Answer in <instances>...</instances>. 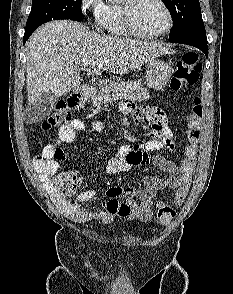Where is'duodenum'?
Segmentation results:
<instances>
[{"label": "duodenum", "mask_w": 233, "mask_h": 294, "mask_svg": "<svg viewBox=\"0 0 233 294\" xmlns=\"http://www.w3.org/2000/svg\"><path fill=\"white\" fill-rule=\"evenodd\" d=\"M91 91L92 88L90 87L77 88L68 98V107L76 109L90 95Z\"/></svg>", "instance_id": "410a0bca"}]
</instances>
